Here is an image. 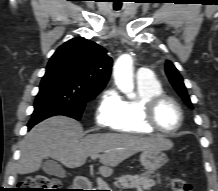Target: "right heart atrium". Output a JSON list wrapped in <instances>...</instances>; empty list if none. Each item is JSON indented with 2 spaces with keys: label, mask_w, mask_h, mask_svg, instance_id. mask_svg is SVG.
Here are the masks:
<instances>
[{
  "label": "right heart atrium",
  "mask_w": 218,
  "mask_h": 191,
  "mask_svg": "<svg viewBox=\"0 0 218 191\" xmlns=\"http://www.w3.org/2000/svg\"><path fill=\"white\" fill-rule=\"evenodd\" d=\"M121 105V97L114 89L103 92L95 110V122L99 127H112Z\"/></svg>",
  "instance_id": "right-heart-atrium-1"
}]
</instances>
